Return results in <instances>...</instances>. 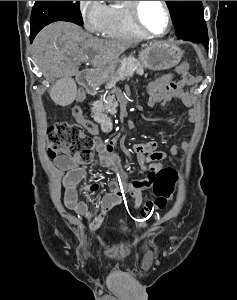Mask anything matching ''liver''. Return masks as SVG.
I'll return each instance as SVG.
<instances>
[{
    "instance_id": "obj_1",
    "label": "liver",
    "mask_w": 237,
    "mask_h": 300,
    "mask_svg": "<svg viewBox=\"0 0 237 300\" xmlns=\"http://www.w3.org/2000/svg\"><path fill=\"white\" fill-rule=\"evenodd\" d=\"M132 45L126 39H98L73 23H52L38 33L32 47L33 59L45 77H58L77 75L86 59L95 69H104Z\"/></svg>"
}]
</instances>
